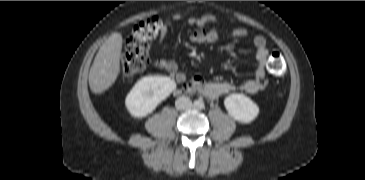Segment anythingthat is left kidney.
Segmentation results:
<instances>
[{
  "label": "left kidney",
  "mask_w": 365,
  "mask_h": 180,
  "mask_svg": "<svg viewBox=\"0 0 365 180\" xmlns=\"http://www.w3.org/2000/svg\"><path fill=\"white\" fill-rule=\"evenodd\" d=\"M229 115L242 123L252 122L259 114V107L243 94H231L224 100Z\"/></svg>",
  "instance_id": "obj_1"
}]
</instances>
